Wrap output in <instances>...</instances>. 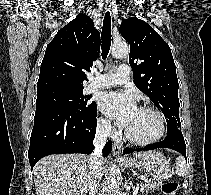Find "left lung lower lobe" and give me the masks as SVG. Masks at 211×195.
<instances>
[{
    "mask_svg": "<svg viewBox=\"0 0 211 195\" xmlns=\"http://www.w3.org/2000/svg\"><path fill=\"white\" fill-rule=\"evenodd\" d=\"M157 148H170L176 150L186 158V145L180 129L167 133L166 138L161 142L150 144L144 148H136V149L127 148L123 151V154H129L134 151L153 150Z\"/></svg>",
    "mask_w": 211,
    "mask_h": 195,
    "instance_id": "left-lung-lower-lobe-1",
    "label": "left lung lower lobe"
}]
</instances>
